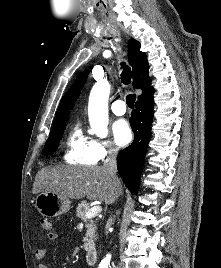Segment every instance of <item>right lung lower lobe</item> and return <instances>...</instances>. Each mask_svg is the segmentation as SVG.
I'll use <instances>...</instances> for the list:
<instances>
[{
  "label": "right lung lower lobe",
  "instance_id": "98d812e1",
  "mask_svg": "<svg viewBox=\"0 0 221 268\" xmlns=\"http://www.w3.org/2000/svg\"><path fill=\"white\" fill-rule=\"evenodd\" d=\"M135 107L136 110L132 112L130 118L134 141L129 147L122 150L117 161L118 171L123 177L125 185L133 194L138 192L145 154L151 138L154 108L153 94L145 99L138 100Z\"/></svg>",
  "mask_w": 221,
  "mask_h": 268
}]
</instances>
